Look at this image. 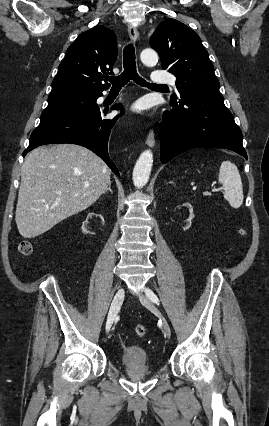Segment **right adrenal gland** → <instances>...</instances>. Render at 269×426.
I'll use <instances>...</instances> for the list:
<instances>
[{"label":"right adrenal gland","instance_id":"1","mask_svg":"<svg viewBox=\"0 0 269 426\" xmlns=\"http://www.w3.org/2000/svg\"><path fill=\"white\" fill-rule=\"evenodd\" d=\"M107 191H110L111 193H113V191H112V189H111V182L109 183L108 188L105 190L104 194H105Z\"/></svg>","mask_w":269,"mask_h":426}]
</instances>
